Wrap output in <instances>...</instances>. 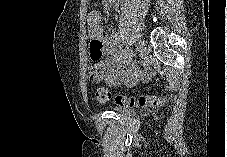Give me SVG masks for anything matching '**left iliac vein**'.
<instances>
[{
    "label": "left iliac vein",
    "instance_id": "obj_1",
    "mask_svg": "<svg viewBox=\"0 0 227 157\" xmlns=\"http://www.w3.org/2000/svg\"><path fill=\"white\" fill-rule=\"evenodd\" d=\"M141 40V43L138 44V49H139V55L142 59H146L149 55V49L147 48L145 42Z\"/></svg>",
    "mask_w": 227,
    "mask_h": 157
}]
</instances>
